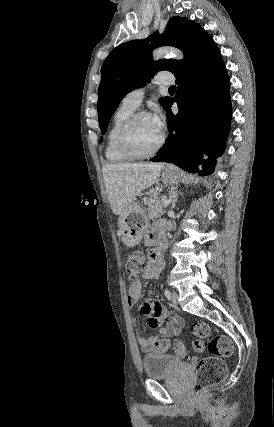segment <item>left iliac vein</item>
<instances>
[{
	"instance_id": "1",
	"label": "left iliac vein",
	"mask_w": 274,
	"mask_h": 427,
	"mask_svg": "<svg viewBox=\"0 0 274 427\" xmlns=\"http://www.w3.org/2000/svg\"><path fill=\"white\" fill-rule=\"evenodd\" d=\"M178 297H179V295H178L177 292H173L172 293V300L171 301H172L173 304L177 305L179 303Z\"/></svg>"
}]
</instances>
